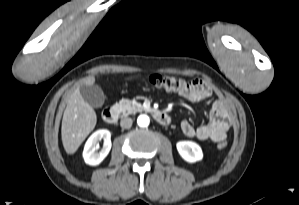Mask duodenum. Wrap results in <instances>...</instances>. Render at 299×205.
<instances>
[{"label":"duodenum","instance_id":"obj_1","mask_svg":"<svg viewBox=\"0 0 299 205\" xmlns=\"http://www.w3.org/2000/svg\"><path fill=\"white\" fill-rule=\"evenodd\" d=\"M151 113L158 123L162 125H167L170 123V116L166 112L161 110H153ZM102 117L105 122L114 124L119 119V110L116 107H107L103 110Z\"/></svg>","mask_w":299,"mask_h":205}]
</instances>
